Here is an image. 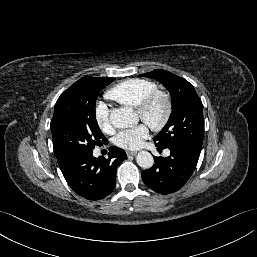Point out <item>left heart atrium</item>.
I'll return each instance as SVG.
<instances>
[{"label":"left heart atrium","mask_w":257,"mask_h":257,"mask_svg":"<svg viewBox=\"0 0 257 257\" xmlns=\"http://www.w3.org/2000/svg\"><path fill=\"white\" fill-rule=\"evenodd\" d=\"M149 135V128L146 124H139L136 127L121 130L114 138V143L125 149H137Z\"/></svg>","instance_id":"left-heart-atrium-1"}]
</instances>
